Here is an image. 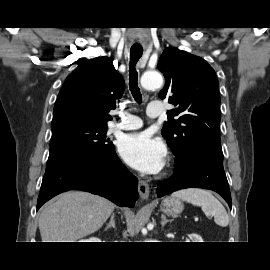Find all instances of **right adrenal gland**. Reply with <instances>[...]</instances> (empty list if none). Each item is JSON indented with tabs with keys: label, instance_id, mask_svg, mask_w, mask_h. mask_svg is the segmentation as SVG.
<instances>
[{
	"label": "right adrenal gland",
	"instance_id": "2a0ac1e0",
	"mask_svg": "<svg viewBox=\"0 0 270 270\" xmlns=\"http://www.w3.org/2000/svg\"><path fill=\"white\" fill-rule=\"evenodd\" d=\"M114 228V229H116V226H115V214L114 213H112V215H111V217H110V221H109V223L106 225V228H105V230H107V229H109V228Z\"/></svg>",
	"mask_w": 270,
	"mask_h": 270
}]
</instances>
